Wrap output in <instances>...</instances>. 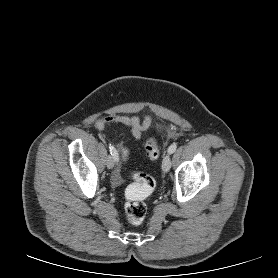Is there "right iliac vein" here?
Segmentation results:
<instances>
[{"mask_svg":"<svg viewBox=\"0 0 278 278\" xmlns=\"http://www.w3.org/2000/svg\"><path fill=\"white\" fill-rule=\"evenodd\" d=\"M115 161H114V158L113 157H111V156H108L107 157V160H106V165H107V167L109 168V169H111V168H113L114 167V163Z\"/></svg>","mask_w":278,"mask_h":278,"instance_id":"63e3f726","label":"right iliac vein"}]
</instances>
